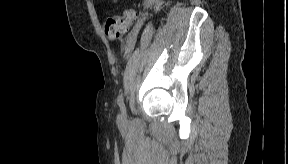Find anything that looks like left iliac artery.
<instances>
[{
    "label": "left iliac artery",
    "mask_w": 288,
    "mask_h": 164,
    "mask_svg": "<svg viewBox=\"0 0 288 164\" xmlns=\"http://www.w3.org/2000/svg\"><path fill=\"white\" fill-rule=\"evenodd\" d=\"M117 104L121 110V115L123 118L126 117V109H125V105H124V98H123V93H121L118 98H117Z\"/></svg>",
    "instance_id": "left-iliac-artery-1"
}]
</instances>
